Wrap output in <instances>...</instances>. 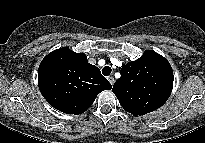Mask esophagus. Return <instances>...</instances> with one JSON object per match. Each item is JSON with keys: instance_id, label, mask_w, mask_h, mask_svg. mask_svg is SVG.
<instances>
[{"instance_id": "34e87169", "label": "esophagus", "mask_w": 205, "mask_h": 143, "mask_svg": "<svg viewBox=\"0 0 205 143\" xmlns=\"http://www.w3.org/2000/svg\"><path fill=\"white\" fill-rule=\"evenodd\" d=\"M107 80L110 82L111 85H113L114 82H115V80H114V78L112 76H108Z\"/></svg>"}]
</instances>
